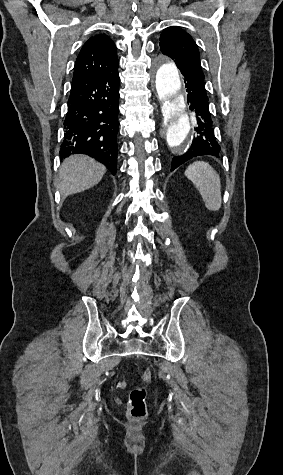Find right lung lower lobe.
<instances>
[{"mask_svg":"<svg viewBox=\"0 0 283 475\" xmlns=\"http://www.w3.org/2000/svg\"><path fill=\"white\" fill-rule=\"evenodd\" d=\"M119 83L118 69L101 76L73 78L61 159L87 154L116 174Z\"/></svg>","mask_w":283,"mask_h":475,"instance_id":"obj_1","label":"right lung lower lobe"}]
</instances>
